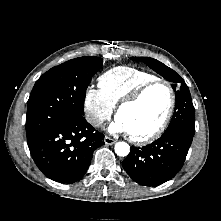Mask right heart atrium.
<instances>
[{
  "label": "right heart atrium",
  "mask_w": 221,
  "mask_h": 221,
  "mask_svg": "<svg viewBox=\"0 0 221 221\" xmlns=\"http://www.w3.org/2000/svg\"><path fill=\"white\" fill-rule=\"evenodd\" d=\"M113 108L105 100L99 89L90 87L84 97V114L87 122L94 128H99L108 120Z\"/></svg>",
  "instance_id": "right-heart-atrium-1"
}]
</instances>
